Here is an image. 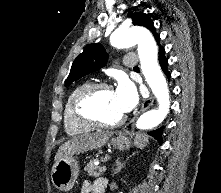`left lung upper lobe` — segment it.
Masks as SVG:
<instances>
[{
    "mask_svg": "<svg viewBox=\"0 0 221 193\" xmlns=\"http://www.w3.org/2000/svg\"><path fill=\"white\" fill-rule=\"evenodd\" d=\"M131 18L133 19V25L144 26L149 29L159 44L160 36L155 32L153 21L148 15L136 12L131 15ZM107 60L108 54L100 44L92 43L87 45L83 52L74 60L70 74L65 82V86H68L73 81H76L91 72L103 68L107 63Z\"/></svg>",
    "mask_w": 221,
    "mask_h": 193,
    "instance_id": "5c2ea615",
    "label": "left lung upper lobe"
}]
</instances>
